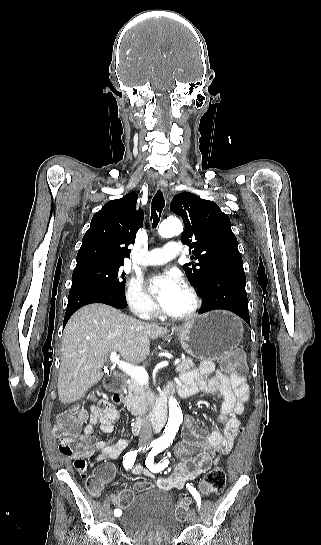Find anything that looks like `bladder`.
Returning a JSON list of instances; mask_svg holds the SVG:
<instances>
[{"mask_svg":"<svg viewBox=\"0 0 321 545\" xmlns=\"http://www.w3.org/2000/svg\"><path fill=\"white\" fill-rule=\"evenodd\" d=\"M132 545H174L181 534L171 495L164 489L138 492L118 517Z\"/></svg>","mask_w":321,"mask_h":545,"instance_id":"bladder-1","label":"bladder"}]
</instances>
